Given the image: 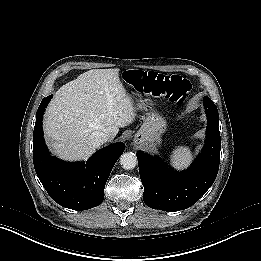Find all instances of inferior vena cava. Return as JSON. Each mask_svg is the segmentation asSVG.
<instances>
[{
    "label": "inferior vena cava",
    "instance_id": "602c4592",
    "mask_svg": "<svg viewBox=\"0 0 261 261\" xmlns=\"http://www.w3.org/2000/svg\"><path fill=\"white\" fill-rule=\"evenodd\" d=\"M109 140V135L104 132L95 131L92 133V143L96 148L100 147Z\"/></svg>",
    "mask_w": 261,
    "mask_h": 261
}]
</instances>
